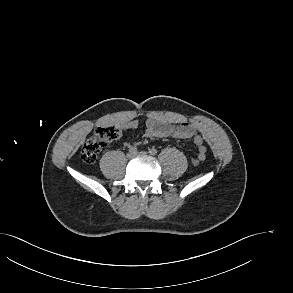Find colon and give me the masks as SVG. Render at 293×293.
I'll use <instances>...</instances> for the list:
<instances>
[{"label": "colon", "instance_id": "1", "mask_svg": "<svg viewBox=\"0 0 293 293\" xmlns=\"http://www.w3.org/2000/svg\"><path fill=\"white\" fill-rule=\"evenodd\" d=\"M120 137V129L116 126L99 127L94 134L87 140L81 150V158L85 163L92 164L96 161L99 153L110 143ZM205 153L201 151L196 159L193 160L194 165H198L205 160Z\"/></svg>", "mask_w": 293, "mask_h": 293}]
</instances>
